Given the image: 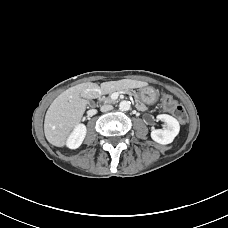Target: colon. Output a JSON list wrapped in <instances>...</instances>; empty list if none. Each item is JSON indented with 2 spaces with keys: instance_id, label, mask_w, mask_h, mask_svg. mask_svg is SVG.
<instances>
[{
  "instance_id": "1",
  "label": "colon",
  "mask_w": 228,
  "mask_h": 228,
  "mask_svg": "<svg viewBox=\"0 0 228 228\" xmlns=\"http://www.w3.org/2000/svg\"><path fill=\"white\" fill-rule=\"evenodd\" d=\"M162 105L165 111L171 113L179 122L187 120V113L184 108L170 95L161 96Z\"/></svg>"
}]
</instances>
